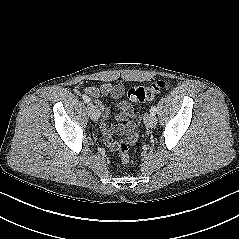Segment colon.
Instances as JSON below:
<instances>
[{
  "label": "colon",
  "mask_w": 239,
  "mask_h": 239,
  "mask_svg": "<svg viewBox=\"0 0 239 239\" xmlns=\"http://www.w3.org/2000/svg\"><path fill=\"white\" fill-rule=\"evenodd\" d=\"M165 87V82L157 80L149 86L132 87L128 90L127 97L132 102H145L152 100ZM136 122L140 121L139 116L135 118ZM121 164L127 165L130 162V152L126 143L121 142L116 146Z\"/></svg>",
  "instance_id": "5ec220e1"
}]
</instances>
